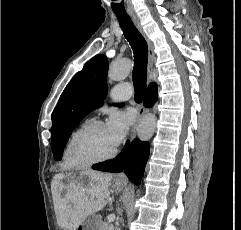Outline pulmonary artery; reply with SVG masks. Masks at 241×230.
<instances>
[{"mask_svg":"<svg viewBox=\"0 0 241 230\" xmlns=\"http://www.w3.org/2000/svg\"><path fill=\"white\" fill-rule=\"evenodd\" d=\"M131 94L132 89L128 83L117 85L111 90V97L115 100H126Z\"/></svg>","mask_w":241,"mask_h":230,"instance_id":"e3ab8cb5","label":"pulmonary artery"}]
</instances>
